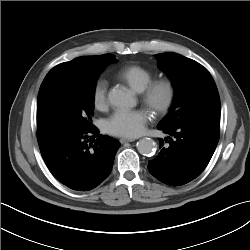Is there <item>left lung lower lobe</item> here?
<instances>
[{"instance_id": "1", "label": "left lung lower lobe", "mask_w": 250, "mask_h": 250, "mask_svg": "<svg viewBox=\"0 0 250 250\" xmlns=\"http://www.w3.org/2000/svg\"><path fill=\"white\" fill-rule=\"evenodd\" d=\"M158 129L169 136L159 139L161 151L148 162L149 172L167 185L181 186L199 176L209 163L219 141L220 116Z\"/></svg>"}]
</instances>
